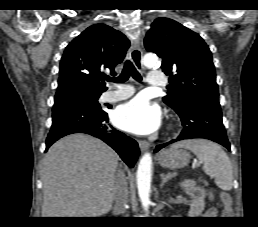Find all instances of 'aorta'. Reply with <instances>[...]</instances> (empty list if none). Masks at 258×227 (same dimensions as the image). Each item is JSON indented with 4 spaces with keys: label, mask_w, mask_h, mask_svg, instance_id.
<instances>
[{
    "label": "aorta",
    "mask_w": 258,
    "mask_h": 227,
    "mask_svg": "<svg viewBox=\"0 0 258 227\" xmlns=\"http://www.w3.org/2000/svg\"><path fill=\"white\" fill-rule=\"evenodd\" d=\"M143 64L146 67H154L159 64L158 57L149 53L143 57ZM152 157L150 153H145L138 164L137 188L140 201L144 210L148 211L150 206V184H151Z\"/></svg>",
    "instance_id": "obj_1"
}]
</instances>
